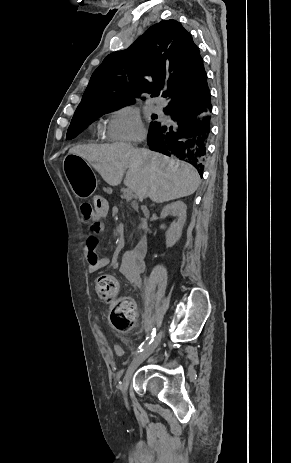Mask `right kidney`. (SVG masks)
<instances>
[{"label":"right kidney","mask_w":291,"mask_h":463,"mask_svg":"<svg viewBox=\"0 0 291 463\" xmlns=\"http://www.w3.org/2000/svg\"><path fill=\"white\" fill-rule=\"evenodd\" d=\"M186 209L187 207L182 201L167 204L162 209V218H165L168 215H174L177 217V221H174L166 231V243L170 247L175 245L182 235V229L186 221Z\"/></svg>","instance_id":"ca27d5eb"}]
</instances>
